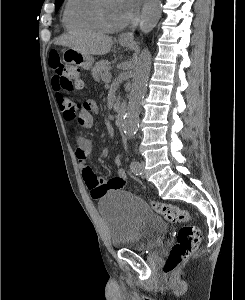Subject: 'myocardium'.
Wrapping results in <instances>:
<instances>
[{
	"label": "myocardium",
	"instance_id": "1",
	"mask_svg": "<svg viewBox=\"0 0 245 300\" xmlns=\"http://www.w3.org/2000/svg\"><path fill=\"white\" fill-rule=\"evenodd\" d=\"M102 2H103V0H95V4H94V8H93L95 21L102 31L116 32V31L123 29L130 23L132 18H129L126 21H124L123 23L118 24V25H109L103 17Z\"/></svg>",
	"mask_w": 245,
	"mask_h": 300
}]
</instances>
